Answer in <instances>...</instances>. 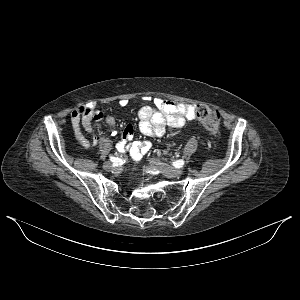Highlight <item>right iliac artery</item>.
I'll use <instances>...</instances> for the list:
<instances>
[{"label": "right iliac artery", "mask_w": 300, "mask_h": 300, "mask_svg": "<svg viewBox=\"0 0 300 300\" xmlns=\"http://www.w3.org/2000/svg\"><path fill=\"white\" fill-rule=\"evenodd\" d=\"M110 160L113 162L114 166L122 165L125 162V160L114 156H110Z\"/></svg>", "instance_id": "82829eb1"}]
</instances>
